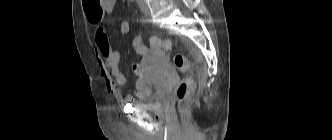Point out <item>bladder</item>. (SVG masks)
<instances>
[{
    "label": "bladder",
    "instance_id": "obj_1",
    "mask_svg": "<svg viewBox=\"0 0 332 140\" xmlns=\"http://www.w3.org/2000/svg\"><path fill=\"white\" fill-rule=\"evenodd\" d=\"M164 103V96L150 88L149 94L141 99L131 101V104L141 110L146 111H159L161 110Z\"/></svg>",
    "mask_w": 332,
    "mask_h": 140
}]
</instances>
